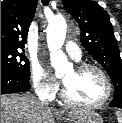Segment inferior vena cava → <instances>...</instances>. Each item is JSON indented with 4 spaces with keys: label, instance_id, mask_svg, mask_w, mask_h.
<instances>
[{
    "label": "inferior vena cava",
    "instance_id": "obj_1",
    "mask_svg": "<svg viewBox=\"0 0 122 123\" xmlns=\"http://www.w3.org/2000/svg\"><path fill=\"white\" fill-rule=\"evenodd\" d=\"M42 104H44L45 106H48V101L43 100V101H42Z\"/></svg>",
    "mask_w": 122,
    "mask_h": 123
}]
</instances>
